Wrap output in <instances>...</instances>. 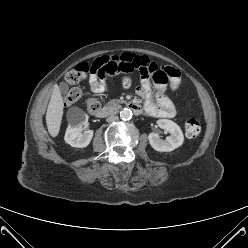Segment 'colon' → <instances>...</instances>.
Segmentation results:
<instances>
[{
	"label": "colon",
	"mask_w": 248,
	"mask_h": 248,
	"mask_svg": "<svg viewBox=\"0 0 248 248\" xmlns=\"http://www.w3.org/2000/svg\"><path fill=\"white\" fill-rule=\"evenodd\" d=\"M115 72V67L112 62L98 60L93 64H80L75 67L73 70L69 71L66 74V80L70 84H78L86 77L95 75L99 79H105L108 76L113 75ZM142 77H148L145 72H141ZM152 79L157 81H163V75H158L157 77L152 75ZM131 83V78L129 75H125L122 78V84L125 87H128ZM82 97V91L79 88H72L69 90L65 97L66 105H72L79 101ZM85 106L90 113H96L101 109V101L95 97H88L85 101ZM185 131L187 136L195 137L201 132L200 122L195 118H188L185 122Z\"/></svg>",
	"instance_id": "colon-1"
}]
</instances>
